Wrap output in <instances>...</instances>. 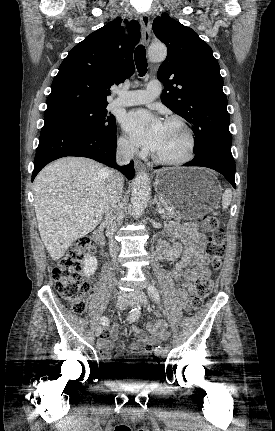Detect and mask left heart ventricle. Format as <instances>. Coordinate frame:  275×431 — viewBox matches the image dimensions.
<instances>
[{
	"label": "left heart ventricle",
	"instance_id": "1",
	"mask_svg": "<svg viewBox=\"0 0 275 431\" xmlns=\"http://www.w3.org/2000/svg\"><path fill=\"white\" fill-rule=\"evenodd\" d=\"M186 150L187 138L183 129L176 123H165L163 137L155 153L165 159H178Z\"/></svg>",
	"mask_w": 275,
	"mask_h": 431
}]
</instances>
